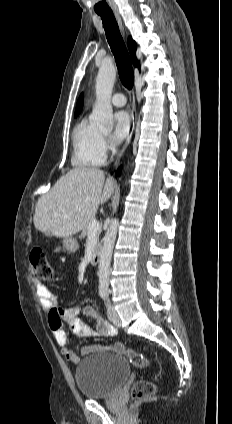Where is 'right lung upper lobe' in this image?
Listing matches in <instances>:
<instances>
[{
    "label": "right lung upper lobe",
    "instance_id": "cb5924a9",
    "mask_svg": "<svg viewBox=\"0 0 232 424\" xmlns=\"http://www.w3.org/2000/svg\"><path fill=\"white\" fill-rule=\"evenodd\" d=\"M128 48H129L130 56H131V59H132L134 66H136V67L138 66L139 69H140L138 60L136 58L137 45H136L135 41L132 40L131 37L128 38ZM83 102H84L83 101V94H81V96L79 97L78 102H77L75 115H78L81 112V110L83 108Z\"/></svg>",
    "mask_w": 232,
    "mask_h": 424
}]
</instances>
